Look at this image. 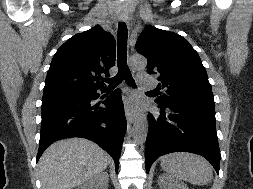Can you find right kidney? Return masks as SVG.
I'll return each instance as SVG.
<instances>
[{
	"label": "right kidney",
	"instance_id": "1",
	"mask_svg": "<svg viewBox=\"0 0 253 189\" xmlns=\"http://www.w3.org/2000/svg\"><path fill=\"white\" fill-rule=\"evenodd\" d=\"M108 177V173L106 172L99 173L80 184L77 189H107Z\"/></svg>",
	"mask_w": 253,
	"mask_h": 189
}]
</instances>
